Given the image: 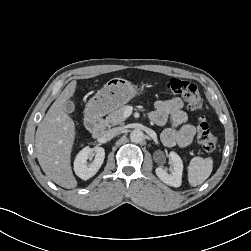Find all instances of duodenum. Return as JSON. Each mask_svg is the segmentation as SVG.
Returning a JSON list of instances; mask_svg holds the SVG:
<instances>
[{
    "mask_svg": "<svg viewBox=\"0 0 251 251\" xmlns=\"http://www.w3.org/2000/svg\"><path fill=\"white\" fill-rule=\"evenodd\" d=\"M86 126L94 138L101 137L105 130L102 115L93 109L87 115Z\"/></svg>",
    "mask_w": 251,
    "mask_h": 251,
    "instance_id": "410a0bca",
    "label": "duodenum"
}]
</instances>
